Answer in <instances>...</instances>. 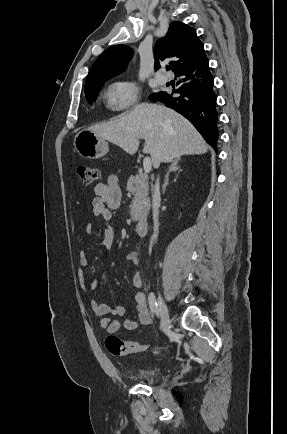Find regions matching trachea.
<instances>
[{
  "mask_svg": "<svg viewBox=\"0 0 287 434\" xmlns=\"http://www.w3.org/2000/svg\"><path fill=\"white\" fill-rule=\"evenodd\" d=\"M170 69H171L170 67H167V68H166L167 71H169Z\"/></svg>",
  "mask_w": 287,
  "mask_h": 434,
  "instance_id": "1",
  "label": "trachea"
}]
</instances>
